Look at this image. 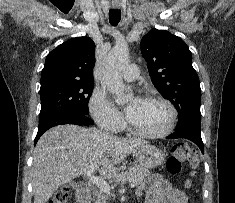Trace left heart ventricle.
Instances as JSON below:
<instances>
[{
    "instance_id": "b2bd125f",
    "label": "left heart ventricle",
    "mask_w": 235,
    "mask_h": 203,
    "mask_svg": "<svg viewBox=\"0 0 235 203\" xmlns=\"http://www.w3.org/2000/svg\"><path fill=\"white\" fill-rule=\"evenodd\" d=\"M132 103L133 101L130 104ZM128 117L138 129L146 132H157L162 130L167 124L169 111L160 102L141 99L136 103Z\"/></svg>"
}]
</instances>
